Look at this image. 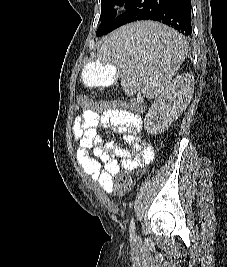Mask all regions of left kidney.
Instances as JSON below:
<instances>
[{"label": "left kidney", "instance_id": "left-kidney-1", "mask_svg": "<svg viewBox=\"0 0 227 267\" xmlns=\"http://www.w3.org/2000/svg\"><path fill=\"white\" fill-rule=\"evenodd\" d=\"M194 91V76L178 75L161 93L144 119V128L151 135L164 132L190 103Z\"/></svg>", "mask_w": 227, "mask_h": 267}]
</instances>
